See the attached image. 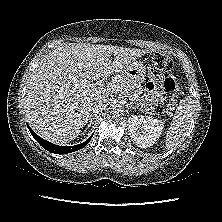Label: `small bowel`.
Instances as JSON below:
<instances>
[{"instance_id": "c3829d8e", "label": "small bowel", "mask_w": 222, "mask_h": 222, "mask_svg": "<svg viewBox=\"0 0 222 222\" xmlns=\"http://www.w3.org/2000/svg\"><path fill=\"white\" fill-rule=\"evenodd\" d=\"M149 98L151 100H163L164 90H163V80L160 77H152L151 81L147 85Z\"/></svg>"}]
</instances>
